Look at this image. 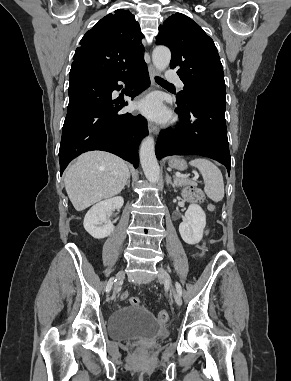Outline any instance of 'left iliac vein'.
Here are the masks:
<instances>
[{
	"label": "left iliac vein",
	"instance_id": "1",
	"mask_svg": "<svg viewBox=\"0 0 291 381\" xmlns=\"http://www.w3.org/2000/svg\"><path fill=\"white\" fill-rule=\"evenodd\" d=\"M158 279L160 281L164 282L166 286L171 288L174 300H175L176 304L180 306L182 304V299H181V296L179 295V293L173 288L171 277H170L169 273L165 269L159 268L158 269Z\"/></svg>",
	"mask_w": 291,
	"mask_h": 381
}]
</instances>
